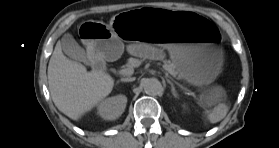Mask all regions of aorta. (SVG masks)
<instances>
[{
    "mask_svg": "<svg viewBox=\"0 0 279 148\" xmlns=\"http://www.w3.org/2000/svg\"><path fill=\"white\" fill-rule=\"evenodd\" d=\"M143 88L146 94L155 96L163 91L161 82L156 78H148L143 83Z\"/></svg>",
    "mask_w": 279,
    "mask_h": 148,
    "instance_id": "762f6f07",
    "label": "aorta"
}]
</instances>
